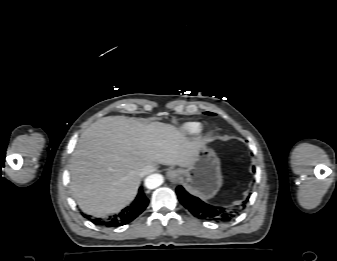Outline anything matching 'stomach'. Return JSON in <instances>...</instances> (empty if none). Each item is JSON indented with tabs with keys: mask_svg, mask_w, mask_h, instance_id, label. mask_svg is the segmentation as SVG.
Returning a JSON list of instances; mask_svg holds the SVG:
<instances>
[{
	"mask_svg": "<svg viewBox=\"0 0 337 261\" xmlns=\"http://www.w3.org/2000/svg\"><path fill=\"white\" fill-rule=\"evenodd\" d=\"M179 173L187 190L203 199L215 196L222 186L220 160L206 145L199 149L193 165L180 169Z\"/></svg>",
	"mask_w": 337,
	"mask_h": 261,
	"instance_id": "0dacf381",
	"label": "stomach"
}]
</instances>
